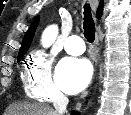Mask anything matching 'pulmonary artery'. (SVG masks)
Returning a JSON list of instances; mask_svg holds the SVG:
<instances>
[{
  "label": "pulmonary artery",
  "mask_w": 131,
  "mask_h": 115,
  "mask_svg": "<svg viewBox=\"0 0 131 115\" xmlns=\"http://www.w3.org/2000/svg\"><path fill=\"white\" fill-rule=\"evenodd\" d=\"M65 50L71 55H80L85 51V45L82 38L78 35H72L66 39Z\"/></svg>",
  "instance_id": "pulmonary-artery-1"
}]
</instances>
